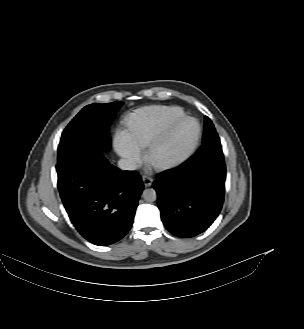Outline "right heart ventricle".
I'll return each mask as SVG.
<instances>
[{
  "instance_id": "obj_1",
  "label": "right heart ventricle",
  "mask_w": 304,
  "mask_h": 329,
  "mask_svg": "<svg viewBox=\"0 0 304 329\" xmlns=\"http://www.w3.org/2000/svg\"><path fill=\"white\" fill-rule=\"evenodd\" d=\"M185 115L178 106H151L136 111L128 121L129 133L135 143L141 148H147L150 143L165 132L176 119Z\"/></svg>"
}]
</instances>
